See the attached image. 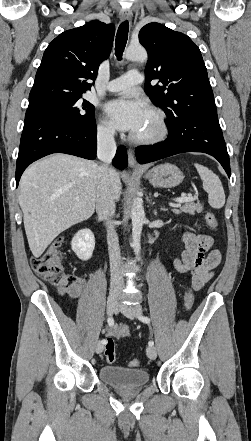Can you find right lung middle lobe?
I'll return each mask as SVG.
<instances>
[{
    "mask_svg": "<svg viewBox=\"0 0 251 441\" xmlns=\"http://www.w3.org/2000/svg\"><path fill=\"white\" fill-rule=\"evenodd\" d=\"M28 111L51 115L73 126L88 127L95 122L94 106L82 95H57L29 102Z\"/></svg>",
    "mask_w": 251,
    "mask_h": 441,
    "instance_id": "right-lung-middle-lobe-1",
    "label": "right lung middle lobe"
}]
</instances>
